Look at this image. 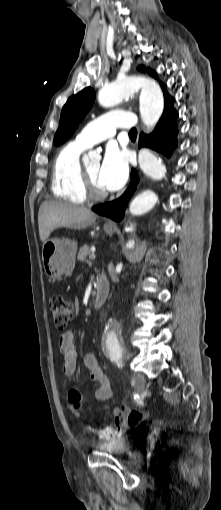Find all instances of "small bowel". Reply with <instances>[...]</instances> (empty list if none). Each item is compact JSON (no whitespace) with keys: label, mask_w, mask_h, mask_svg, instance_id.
Instances as JSON below:
<instances>
[{"label":"small bowel","mask_w":221,"mask_h":510,"mask_svg":"<svg viewBox=\"0 0 221 510\" xmlns=\"http://www.w3.org/2000/svg\"><path fill=\"white\" fill-rule=\"evenodd\" d=\"M59 350L62 356V372L67 376L73 375L77 367V351L72 331H67L60 335ZM83 362L89 370L91 378L97 383L96 400L100 402L108 400L113 394V384L109 376L100 367L96 355L91 351L86 352ZM68 409L74 416H79L83 410L82 396L78 390H70L68 392ZM124 411H130V407L122 406L113 409L115 428H111L113 435L110 438H115L128 429L129 426L122 414Z\"/></svg>","instance_id":"obj_1"}]
</instances>
